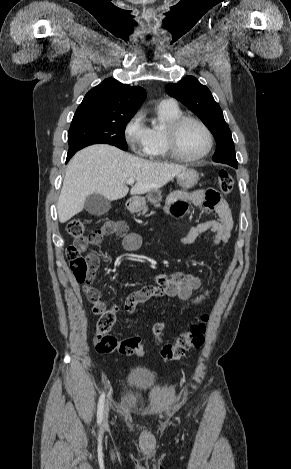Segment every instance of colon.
Masks as SVG:
<instances>
[{"instance_id": "obj_1", "label": "colon", "mask_w": 291, "mask_h": 469, "mask_svg": "<svg viewBox=\"0 0 291 469\" xmlns=\"http://www.w3.org/2000/svg\"><path fill=\"white\" fill-rule=\"evenodd\" d=\"M218 186L222 194L228 195L233 189V177L226 169H220L217 173ZM86 221L82 218H74L67 225V232L76 239L75 243L67 248V259L71 270L79 283L85 285V294L92 303L99 301L97 291L90 286L95 277L96 266L88 256L83 254V248L88 244L99 241L102 238L101 230L92 231L85 234ZM118 306L113 309L99 308L97 314L100 318L97 322V332L95 336V349L98 353L108 354L115 351L124 355L144 356L145 351L139 337H131L118 340L109 334L116 320ZM208 317L202 316L199 323L193 324L186 331L179 334L176 341L162 343V334L165 328L164 321H158L153 325L152 333L155 341L159 344L160 356L167 361L179 360L190 349H199L206 335V321Z\"/></svg>"}]
</instances>
